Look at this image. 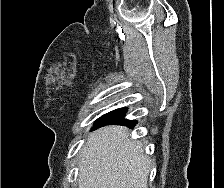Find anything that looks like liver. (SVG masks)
<instances>
[{
	"label": "liver",
	"instance_id": "liver-1",
	"mask_svg": "<svg viewBox=\"0 0 224 188\" xmlns=\"http://www.w3.org/2000/svg\"><path fill=\"white\" fill-rule=\"evenodd\" d=\"M128 134L116 125L91 134L80 151L79 188H147L150 159Z\"/></svg>",
	"mask_w": 224,
	"mask_h": 188
}]
</instances>
